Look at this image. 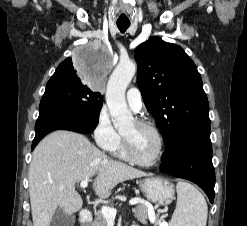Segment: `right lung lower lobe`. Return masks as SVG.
Returning <instances> with one entry per match:
<instances>
[{
    "mask_svg": "<svg viewBox=\"0 0 247 226\" xmlns=\"http://www.w3.org/2000/svg\"><path fill=\"white\" fill-rule=\"evenodd\" d=\"M97 124L98 121L94 120L93 117L73 112L54 102H47L40 106L32 150L46 134L54 130L63 129L78 133H89L96 128Z\"/></svg>",
    "mask_w": 247,
    "mask_h": 226,
    "instance_id": "obj_1",
    "label": "right lung lower lobe"
}]
</instances>
